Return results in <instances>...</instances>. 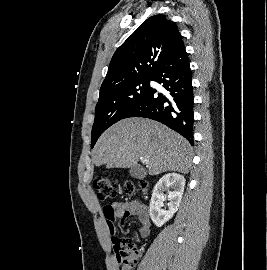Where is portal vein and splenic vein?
<instances>
[{
	"label": "portal vein and splenic vein",
	"instance_id": "portal-vein-and-splenic-vein-1",
	"mask_svg": "<svg viewBox=\"0 0 267 270\" xmlns=\"http://www.w3.org/2000/svg\"><path fill=\"white\" fill-rule=\"evenodd\" d=\"M141 161H142V163H144V164H147V162H148V160L147 159H145V158H141Z\"/></svg>",
	"mask_w": 267,
	"mask_h": 270
}]
</instances>
